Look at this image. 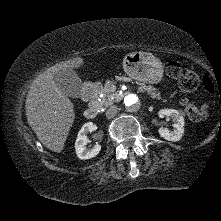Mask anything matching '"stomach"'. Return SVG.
Instances as JSON below:
<instances>
[{
	"label": "stomach",
	"mask_w": 221,
	"mask_h": 221,
	"mask_svg": "<svg viewBox=\"0 0 221 221\" xmlns=\"http://www.w3.org/2000/svg\"><path fill=\"white\" fill-rule=\"evenodd\" d=\"M125 73L137 81L156 84L163 79V65L158 58L147 52H132L123 60Z\"/></svg>",
	"instance_id": "0dacf381"
}]
</instances>
